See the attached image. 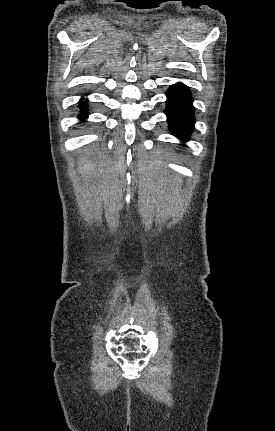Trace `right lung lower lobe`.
Instances as JSON below:
<instances>
[{
  "label": "right lung lower lobe",
  "mask_w": 275,
  "mask_h": 431,
  "mask_svg": "<svg viewBox=\"0 0 275 431\" xmlns=\"http://www.w3.org/2000/svg\"><path fill=\"white\" fill-rule=\"evenodd\" d=\"M87 102H88V100H86V102H84V101H82V99L79 102V106L81 109V114L79 115L80 120H84V118L88 117V115H89L87 112H85V110L87 109Z\"/></svg>",
  "instance_id": "right-lung-lower-lobe-1"
}]
</instances>
